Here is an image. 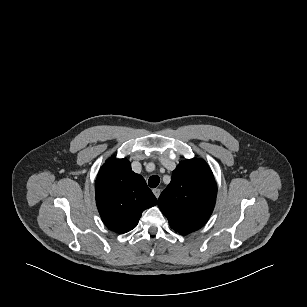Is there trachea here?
<instances>
[{"label":"trachea","instance_id":"obj_1","mask_svg":"<svg viewBox=\"0 0 307 307\" xmlns=\"http://www.w3.org/2000/svg\"><path fill=\"white\" fill-rule=\"evenodd\" d=\"M160 178L157 175H153L149 178L148 184L151 188H155L159 185Z\"/></svg>","mask_w":307,"mask_h":307}]
</instances>
